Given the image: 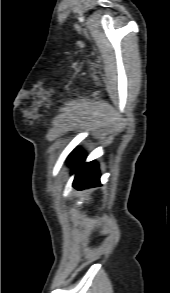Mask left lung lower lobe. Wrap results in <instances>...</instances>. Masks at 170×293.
Here are the masks:
<instances>
[{"mask_svg":"<svg viewBox=\"0 0 170 293\" xmlns=\"http://www.w3.org/2000/svg\"><path fill=\"white\" fill-rule=\"evenodd\" d=\"M72 167L76 172L73 186L77 189H84L100 185V174L98 164L94 161L84 163L85 156L82 153L72 154Z\"/></svg>","mask_w":170,"mask_h":293,"instance_id":"1","label":"left lung lower lobe"}]
</instances>
